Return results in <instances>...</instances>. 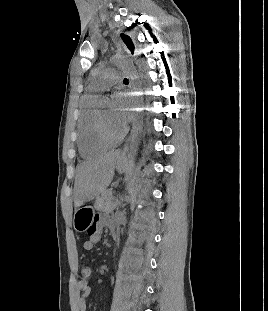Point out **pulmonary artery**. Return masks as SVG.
<instances>
[{
	"label": "pulmonary artery",
	"mask_w": 268,
	"mask_h": 311,
	"mask_svg": "<svg viewBox=\"0 0 268 311\" xmlns=\"http://www.w3.org/2000/svg\"><path fill=\"white\" fill-rule=\"evenodd\" d=\"M123 73L117 70H110L103 72L90 85V90L95 93H99L107 90L113 84L122 80Z\"/></svg>",
	"instance_id": "1"
}]
</instances>
